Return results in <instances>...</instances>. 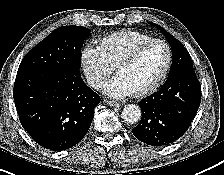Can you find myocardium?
Here are the masks:
<instances>
[{"label":"myocardium","instance_id":"myocardium-1","mask_svg":"<svg viewBox=\"0 0 224 175\" xmlns=\"http://www.w3.org/2000/svg\"><path fill=\"white\" fill-rule=\"evenodd\" d=\"M152 44H162L165 47L166 54H167L166 61H165V64H164L162 70L158 74V76L149 85L135 91L133 93L135 96H142V95L150 93L151 91L156 89L157 86L161 83V81L165 78V76L168 73L169 68L171 66V62H172V50H171V47L169 46V44L162 39L152 38L150 40H147V41L139 44L137 47H135L130 53H128L125 57H123L115 66L116 73H118V71L121 68L133 63L139 57V55L148 46H150Z\"/></svg>","mask_w":224,"mask_h":175}]
</instances>
